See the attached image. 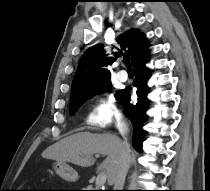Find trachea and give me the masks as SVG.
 I'll return each mask as SVG.
<instances>
[{"label": "trachea", "mask_w": 210, "mask_h": 191, "mask_svg": "<svg viewBox=\"0 0 210 191\" xmlns=\"http://www.w3.org/2000/svg\"><path fill=\"white\" fill-rule=\"evenodd\" d=\"M124 64L128 67V72H132L128 57L124 58Z\"/></svg>", "instance_id": "trachea-1"}]
</instances>
